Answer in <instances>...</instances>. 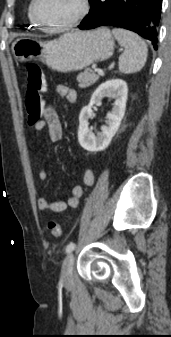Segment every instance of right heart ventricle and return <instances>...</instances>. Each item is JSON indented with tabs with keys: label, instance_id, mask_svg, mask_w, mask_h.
I'll use <instances>...</instances> for the list:
<instances>
[{
	"label": "right heart ventricle",
	"instance_id": "right-heart-ventricle-1",
	"mask_svg": "<svg viewBox=\"0 0 171 337\" xmlns=\"http://www.w3.org/2000/svg\"><path fill=\"white\" fill-rule=\"evenodd\" d=\"M31 4H32V1H30V3L28 4V7H27V21H28V26H29V27H32V28H37V27H40V26L35 22V20H34L33 17H32V13H31Z\"/></svg>",
	"mask_w": 171,
	"mask_h": 337
}]
</instances>
